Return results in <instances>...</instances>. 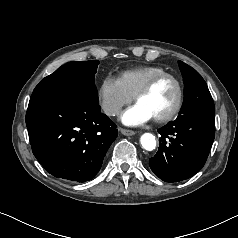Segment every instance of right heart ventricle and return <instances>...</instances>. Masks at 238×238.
<instances>
[{"label":"right heart ventricle","mask_w":238,"mask_h":238,"mask_svg":"<svg viewBox=\"0 0 238 238\" xmlns=\"http://www.w3.org/2000/svg\"><path fill=\"white\" fill-rule=\"evenodd\" d=\"M166 70L159 66L145 65L121 72L118 76V81L122 88L131 96L152 77L165 73Z\"/></svg>","instance_id":"1"}]
</instances>
